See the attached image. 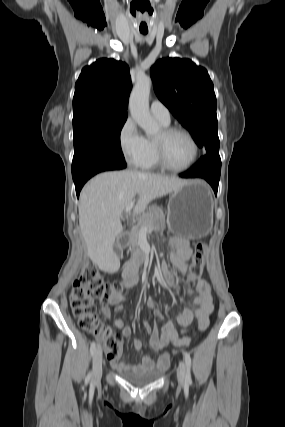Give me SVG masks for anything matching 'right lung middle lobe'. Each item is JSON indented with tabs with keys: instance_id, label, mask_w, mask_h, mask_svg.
Masks as SVG:
<instances>
[{
	"instance_id": "dd1d6c3e",
	"label": "right lung middle lobe",
	"mask_w": 285,
	"mask_h": 427,
	"mask_svg": "<svg viewBox=\"0 0 285 427\" xmlns=\"http://www.w3.org/2000/svg\"><path fill=\"white\" fill-rule=\"evenodd\" d=\"M126 119L127 117L97 115L73 118L72 173L96 156L125 161L120 146V132Z\"/></svg>"
}]
</instances>
